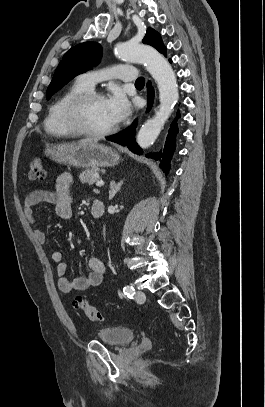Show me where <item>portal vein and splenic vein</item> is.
Returning a JSON list of instances; mask_svg holds the SVG:
<instances>
[{
    "label": "portal vein and splenic vein",
    "mask_w": 265,
    "mask_h": 407,
    "mask_svg": "<svg viewBox=\"0 0 265 407\" xmlns=\"http://www.w3.org/2000/svg\"><path fill=\"white\" fill-rule=\"evenodd\" d=\"M103 185H104V181H102V180H97L96 181V186L100 187V186H103Z\"/></svg>",
    "instance_id": "18ae733b"
}]
</instances>
